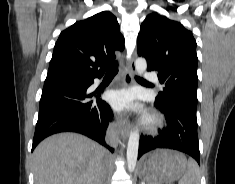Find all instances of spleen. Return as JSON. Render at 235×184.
<instances>
[{
  "label": "spleen",
  "mask_w": 235,
  "mask_h": 184,
  "mask_svg": "<svg viewBox=\"0 0 235 184\" xmlns=\"http://www.w3.org/2000/svg\"><path fill=\"white\" fill-rule=\"evenodd\" d=\"M199 166L195 160H188L187 172L182 176L179 184H199Z\"/></svg>",
  "instance_id": "obj_1"
}]
</instances>
